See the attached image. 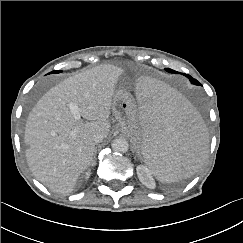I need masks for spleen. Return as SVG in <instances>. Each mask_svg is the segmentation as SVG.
I'll list each match as a JSON object with an SVG mask.
<instances>
[{
  "label": "spleen",
  "instance_id": "spleen-1",
  "mask_svg": "<svg viewBox=\"0 0 243 243\" xmlns=\"http://www.w3.org/2000/svg\"><path fill=\"white\" fill-rule=\"evenodd\" d=\"M136 98V147L142 164L162 183L193 175L207 150L206 127L181 97L153 77H140Z\"/></svg>",
  "mask_w": 243,
  "mask_h": 243
}]
</instances>
